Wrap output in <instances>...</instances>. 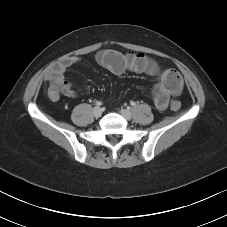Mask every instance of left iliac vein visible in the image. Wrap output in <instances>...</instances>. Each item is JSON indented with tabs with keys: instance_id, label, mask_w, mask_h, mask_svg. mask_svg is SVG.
<instances>
[{
	"instance_id": "left-iliac-vein-1",
	"label": "left iliac vein",
	"mask_w": 227,
	"mask_h": 227,
	"mask_svg": "<svg viewBox=\"0 0 227 227\" xmlns=\"http://www.w3.org/2000/svg\"><path fill=\"white\" fill-rule=\"evenodd\" d=\"M120 114L126 119V120H130L132 118V113L130 110L128 109H121L120 110Z\"/></svg>"
}]
</instances>
